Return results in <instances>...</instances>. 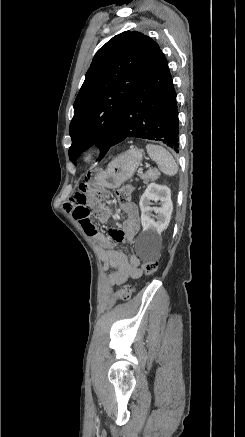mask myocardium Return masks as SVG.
<instances>
[{
	"instance_id": "1",
	"label": "myocardium",
	"mask_w": 245,
	"mask_h": 437,
	"mask_svg": "<svg viewBox=\"0 0 245 437\" xmlns=\"http://www.w3.org/2000/svg\"><path fill=\"white\" fill-rule=\"evenodd\" d=\"M96 149L94 147H89L82 153V160L84 163H90L96 156Z\"/></svg>"
}]
</instances>
